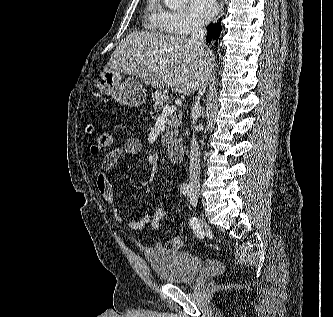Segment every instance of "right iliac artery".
Instances as JSON below:
<instances>
[{"label": "right iliac artery", "instance_id": "1", "mask_svg": "<svg viewBox=\"0 0 333 317\" xmlns=\"http://www.w3.org/2000/svg\"><path fill=\"white\" fill-rule=\"evenodd\" d=\"M180 190H181V193L183 195H187L189 193V191H190V187L187 184H183L181 186ZM190 225L193 228L194 233L196 234V236L198 238L201 239V238L204 237V231L201 229V227H200V225H199V223H198V221H197V219L195 217H192L190 219Z\"/></svg>", "mask_w": 333, "mask_h": 317}]
</instances>
